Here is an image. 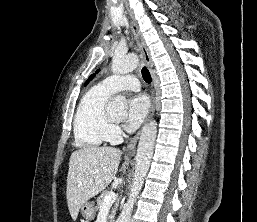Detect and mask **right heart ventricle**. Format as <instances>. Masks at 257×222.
<instances>
[{"label": "right heart ventricle", "mask_w": 257, "mask_h": 222, "mask_svg": "<svg viewBox=\"0 0 257 222\" xmlns=\"http://www.w3.org/2000/svg\"><path fill=\"white\" fill-rule=\"evenodd\" d=\"M111 94L99 86L81 99L73 123L75 143L81 148H98L109 141L110 122L106 106Z\"/></svg>", "instance_id": "1"}]
</instances>
